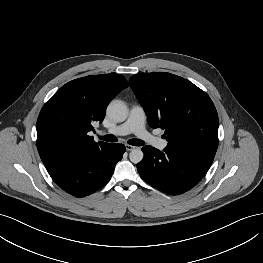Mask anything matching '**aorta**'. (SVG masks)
Returning a JSON list of instances; mask_svg holds the SVG:
<instances>
[{"label": "aorta", "mask_w": 263, "mask_h": 263, "mask_svg": "<svg viewBox=\"0 0 263 263\" xmlns=\"http://www.w3.org/2000/svg\"><path fill=\"white\" fill-rule=\"evenodd\" d=\"M107 114L113 121L123 122L128 117V108L124 102L120 100H113L107 107ZM143 157L144 154L139 148L133 149L129 154L130 161L135 164L141 162Z\"/></svg>", "instance_id": "762f6f07"}]
</instances>
